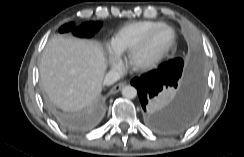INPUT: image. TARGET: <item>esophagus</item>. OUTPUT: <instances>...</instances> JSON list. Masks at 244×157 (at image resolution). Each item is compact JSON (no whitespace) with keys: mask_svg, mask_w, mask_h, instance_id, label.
Listing matches in <instances>:
<instances>
[{"mask_svg":"<svg viewBox=\"0 0 244 157\" xmlns=\"http://www.w3.org/2000/svg\"><path fill=\"white\" fill-rule=\"evenodd\" d=\"M126 82H120L118 84H116L115 86H113L110 90L111 94H115L117 92H119L124 86H126Z\"/></svg>","mask_w":244,"mask_h":157,"instance_id":"esophagus-1","label":"esophagus"}]
</instances>
